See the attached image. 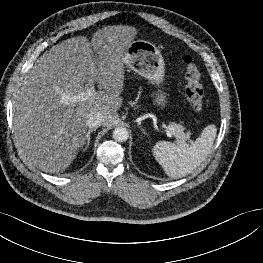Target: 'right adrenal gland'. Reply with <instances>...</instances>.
Instances as JSON below:
<instances>
[{"mask_svg": "<svg viewBox=\"0 0 263 263\" xmlns=\"http://www.w3.org/2000/svg\"><path fill=\"white\" fill-rule=\"evenodd\" d=\"M95 130L96 129H89L88 132L86 133L85 138H84V145H85V147L83 148V151H85L89 147L91 133L94 132Z\"/></svg>", "mask_w": 263, "mask_h": 263, "instance_id": "1", "label": "right adrenal gland"}]
</instances>
